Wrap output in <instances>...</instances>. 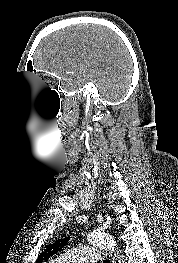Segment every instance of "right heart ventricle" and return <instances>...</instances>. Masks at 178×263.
I'll return each instance as SVG.
<instances>
[{
	"label": "right heart ventricle",
	"mask_w": 178,
	"mask_h": 263,
	"mask_svg": "<svg viewBox=\"0 0 178 263\" xmlns=\"http://www.w3.org/2000/svg\"><path fill=\"white\" fill-rule=\"evenodd\" d=\"M49 263H59V262L55 259V260H51Z\"/></svg>",
	"instance_id": "right-heart-ventricle-1"
}]
</instances>
